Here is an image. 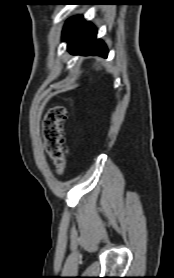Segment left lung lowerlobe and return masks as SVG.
Listing matches in <instances>:
<instances>
[{
    "mask_svg": "<svg viewBox=\"0 0 174 278\" xmlns=\"http://www.w3.org/2000/svg\"><path fill=\"white\" fill-rule=\"evenodd\" d=\"M96 33V29L90 22L84 21L82 17H74L64 40L68 42V50L72 54L107 57L108 50L101 40L96 39Z\"/></svg>",
    "mask_w": 174,
    "mask_h": 278,
    "instance_id": "1",
    "label": "left lung lower lobe"
}]
</instances>
